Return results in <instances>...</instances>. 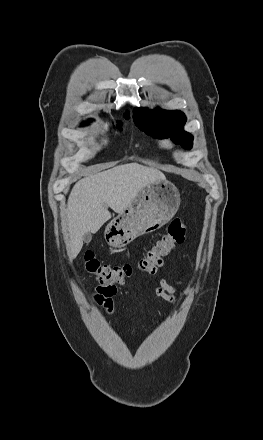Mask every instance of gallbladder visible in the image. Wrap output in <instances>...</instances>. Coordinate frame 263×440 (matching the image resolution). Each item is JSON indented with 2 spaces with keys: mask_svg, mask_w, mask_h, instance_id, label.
<instances>
[{
  "mask_svg": "<svg viewBox=\"0 0 263 440\" xmlns=\"http://www.w3.org/2000/svg\"><path fill=\"white\" fill-rule=\"evenodd\" d=\"M91 240H92V236H91L90 233H86V234L83 236V242H84V243L89 244V243L91 242Z\"/></svg>",
  "mask_w": 263,
  "mask_h": 440,
  "instance_id": "1",
  "label": "gallbladder"
}]
</instances>
